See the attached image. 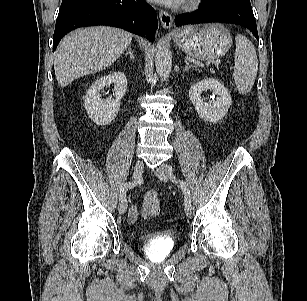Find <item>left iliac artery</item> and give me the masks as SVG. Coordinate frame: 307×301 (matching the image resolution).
<instances>
[{
	"label": "left iliac artery",
	"instance_id": "1",
	"mask_svg": "<svg viewBox=\"0 0 307 301\" xmlns=\"http://www.w3.org/2000/svg\"><path fill=\"white\" fill-rule=\"evenodd\" d=\"M179 182H180V186H181L183 193H184L185 204L191 203V195H190V190H189L188 185L183 180H179Z\"/></svg>",
	"mask_w": 307,
	"mask_h": 301
}]
</instances>
